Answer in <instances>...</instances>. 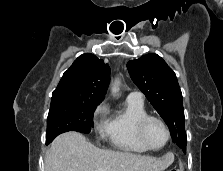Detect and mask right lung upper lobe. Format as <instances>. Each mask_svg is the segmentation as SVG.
<instances>
[{
    "label": "right lung upper lobe",
    "instance_id": "obj_1",
    "mask_svg": "<svg viewBox=\"0 0 223 171\" xmlns=\"http://www.w3.org/2000/svg\"><path fill=\"white\" fill-rule=\"evenodd\" d=\"M109 80V65L93 54H83L63 74L51 101L75 99L101 103Z\"/></svg>",
    "mask_w": 223,
    "mask_h": 171
}]
</instances>
